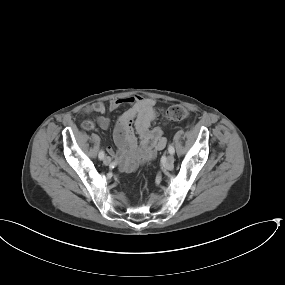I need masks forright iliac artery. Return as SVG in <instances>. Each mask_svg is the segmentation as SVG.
<instances>
[{"mask_svg":"<svg viewBox=\"0 0 285 285\" xmlns=\"http://www.w3.org/2000/svg\"><path fill=\"white\" fill-rule=\"evenodd\" d=\"M104 155H105V154H104V151L101 150V151L99 152V159L102 160V159L104 158Z\"/></svg>","mask_w":285,"mask_h":285,"instance_id":"82829eb1","label":"right iliac artery"}]
</instances>
